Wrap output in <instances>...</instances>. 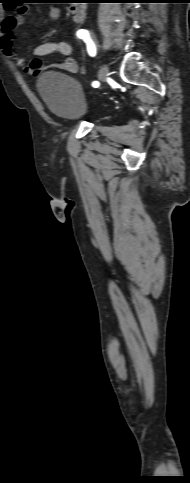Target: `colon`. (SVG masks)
<instances>
[{"label":"colon","mask_w":190,"mask_h":483,"mask_svg":"<svg viewBox=\"0 0 190 483\" xmlns=\"http://www.w3.org/2000/svg\"><path fill=\"white\" fill-rule=\"evenodd\" d=\"M6 4L13 7L14 6V3H11V1H6Z\"/></svg>","instance_id":"colon-1"}]
</instances>
